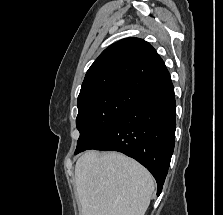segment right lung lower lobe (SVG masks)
Returning a JSON list of instances; mask_svg holds the SVG:
<instances>
[{
    "mask_svg": "<svg viewBox=\"0 0 223 215\" xmlns=\"http://www.w3.org/2000/svg\"><path fill=\"white\" fill-rule=\"evenodd\" d=\"M176 103L172 82L142 95L89 149L118 151L145 166L157 181V195L174 150Z\"/></svg>",
    "mask_w": 223,
    "mask_h": 215,
    "instance_id": "1",
    "label": "right lung lower lobe"
}]
</instances>
